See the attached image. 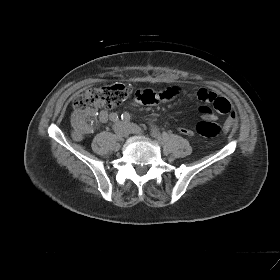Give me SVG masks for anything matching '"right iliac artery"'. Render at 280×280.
I'll list each match as a JSON object with an SVG mask.
<instances>
[{
	"label": "right iliac artery",
	"instance_id": "1",
	"mask_svg": "<svg viewBox=\"0 0 280 280\" xmlns=\"http://www.w3.org/2000/svg\"><path fill=\"white\" fill-rule=\"evenodd\" d=\"M110 120L116 122L118 120V115L116 113H111Z\"/></svg>",
	"mask_w": 280,
	"mask_h": 280
}]
</instances>
